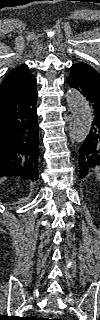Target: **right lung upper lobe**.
<instances>
[{"instance_id": "cb5924a9", "label": "right lung upper lobe", "mask_w": 100, "mask_h": 320, "mask_svg": "<svg viewBox=\"0 0 100 320\" xmlns=\"http://www.w3.org/2000/svg\"><path fill=\"white\" fill-rule=\"evenodd\" d=\"M36 85L35 77L26 65L12 70L0 85V102L25 96Z\"/></svg>"}]
</instances>
